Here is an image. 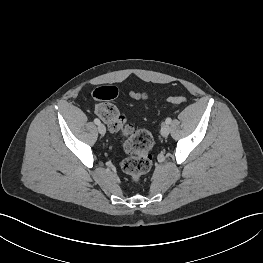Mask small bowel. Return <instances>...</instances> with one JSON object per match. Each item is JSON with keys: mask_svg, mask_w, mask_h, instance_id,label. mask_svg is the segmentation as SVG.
Listing matches in <instances>:
<instances>
[{"mask_svg": "<svg viewBox=\"0 0 263 263\" xmlns=\"http://www.w3.org/2000/svg\"><path fill=\"white\" fill-rule=\"evenodd\" d=\"M132 97L138 101H145L147 99V95L144 92H133Z\"/></svg>", "mask_w": 263, "mask_h": 263, "instance_id": "c3829d8e", "label": "small bowel"}]
</instances>
